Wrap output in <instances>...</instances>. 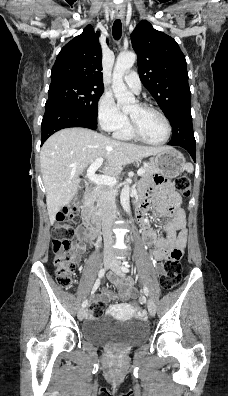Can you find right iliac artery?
<instances>
[{
	"instance_id": "right-iliac-artery-1",
	"label": "right iliac artery",
	"mask_w": 228,
	"mask_h": 396,
	"mask_svg": "<svg viewBox=\"0 0 228 396\" xmlns=\"http://www.w3.org/2000/svg\"><path fill=\"white\" fill-rule=\"evenodd\" d=\"M105 272H106L105 269H101V270L99 271V273H98V278H99V279L102 278V277L104 276ZM98 285H99V280L95 283L94 288H93V292L96 291V289L98 288ZM87 303H88V300L86 299V300L82 303V307H83V308L86 307Z\"/></svg>"
}]
</instances>
